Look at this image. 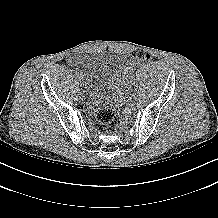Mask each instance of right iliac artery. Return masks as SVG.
Here are the masks:
<instances>
[{"mask_svg":"<svg viewBox=\"0 0 218 218\" xmlns=\"http://www.w3.org/2000/svg\"><path fill=\"white\" fill-rule=\"evenodd\" d=\"M77 77H79V79H81V74H79V72H76Z\"/></svg>","mask_w":218,"mask_h":218,"instance_id":"right-iliac-artery-1","label":"right iliac artery"}]
</instances>
